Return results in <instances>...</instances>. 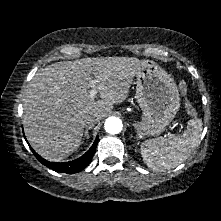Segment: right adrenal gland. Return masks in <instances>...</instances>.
<instances>
[{
    "mask_svg": "<svg viewBox=\"0 0 221 221\" xmlns=\"http://www.w3.org/2000/svg\"><path fill=\"white\" fill-rule=\"evenodd\" d=\"M89 130H90V128H86V130H85V133H84V137H83V141L85 140V139H88L89 138Z\"/></svg>",
    "mask_w": 221,
    "mask_h": 221,
    "instance_id": "2a0ac1e0",
    "label": "right adrenal gland"
}]
</instances>
